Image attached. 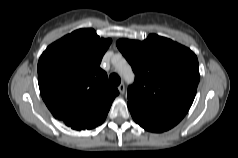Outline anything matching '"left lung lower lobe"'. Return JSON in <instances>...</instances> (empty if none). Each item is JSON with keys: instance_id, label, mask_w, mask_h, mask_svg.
<instances>
[{"instance_id": "1", "label": "left lung lower lobe", "mask_w": 238, "mask_h": 158, "mask_svg": "<svg viewBox=\"0 0 238 158\" xmlns=\"http://www.w3.org/2000/svg\"><path fill=\"white\" fill-rule=\"evenodd\" d=\"M128 108L132 118L145 130L151 132H163L169 130L178 124L186 113L182 112H167L159 114L145 113L137 110L128 104Z\"/></svg>"}]
</instances>
